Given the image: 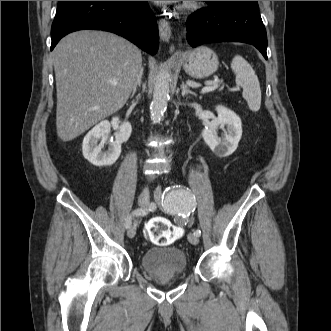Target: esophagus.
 Instances as JSON below:
<instances>
[{"instance_id":"obj_1","label":"esophagus","mask_w":331,"mask_h":331,"mask_svg":"<svg viewBox=\"0 0 331 331\" xmlns=\"http://www.w3.org/2000/svg\"><path fill=\"white\" fill-rule=\"evenodd\" d=\"M159 33H160V38L162 41L164 42H169L171 35H172V31H171V27L170 24L164 20L161 19L159 21ZM174 47L171 46V51H173Z\"/></svg>"}]
</instances>
